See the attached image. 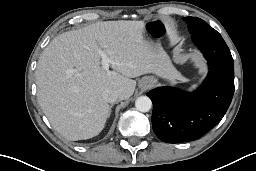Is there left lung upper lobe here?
<instances>
[{
    "label": "left lung upper lobe",
    "instance_id": "1",
    "mask_svg": "<svg viewBox=\"0 0 256 171\" xmlns=\"http://www.w3.org/2000/svg\"><path fill=\"white\" fill-rule=\"evenodd\" d=\"M191 34L220 35L215 29L210 27L205 21L197 17H185Z\"/></svg>",
    "mask_w": 256,
    "mask_h": 171
}]
</instances>
